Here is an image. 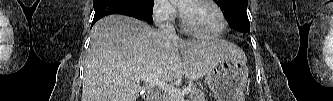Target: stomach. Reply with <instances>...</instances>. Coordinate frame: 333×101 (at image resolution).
Returning <instances> with one entry per match:
<instances>
[{
  "mask_svg": "<svg viewBox=\"0 0 333 101\" xmlns=\"http://www.w3.org/2000/svg\"><path fill=\"white\" fill-rule=\"evenodd\" d=\"M234 46L205 75L206 83L218 101H244L248 79L247 59L243 51Z\"/></svg>",
  "mask_w": 333,
  "mask_h": 101,
  "instance_id": "0dacf381",
  "label": "stomach"
}]
</instances>
